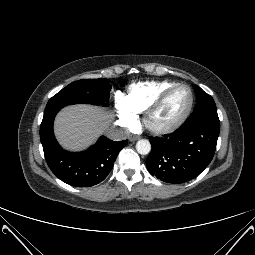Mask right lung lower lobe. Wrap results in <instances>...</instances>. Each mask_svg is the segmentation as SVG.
Segmentation results:
<instances>
[{
	"label": "right lung lower lobe",
	"instance_id": "1",
	"mask_svg": "<svg viewBox=\"0 0 255 255\" xmlns=\"http://www.w3.org/2000/svg\"><path fill=\"white\" fill-rule=\"evenodd\" d=\"M62 107L45 109L40 126V138L46 162L51 171L65 183L76 187H90L103 181L113 168L125 141L100 137L96 144L80 153L63 150L53 133V121Z\"/></svg>",
	"mask_w": 255,
	"mask_h": 255
}]
</instances>
